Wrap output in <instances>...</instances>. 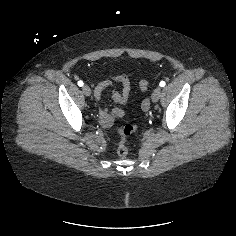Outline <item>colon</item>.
Listing matches in <instances>:
<instances>
[{"label": "colon", "instance_id": "colon-1", "mask_svg": "<svg viewBox=\"0 0 236 236\" xmlns=\"http://www.w3.org/2000/svg\"><path fill=\"white\" fill-rule=\"evenodd\" d=\"M140 89L142 92H145L148 89V81L146 80H142L139 83ZM143 107L147 108L148 107V103L144 102L143 103ZM138 130V126L136 125H132V124H127L124 126H120L118 127V132L123 136V137H128L131 134H133L134 132H136ZM117 153L120 157H125L128 153V148L126 146V144L124 142H121L117 148Z\"/></svg>", "mask_w": 236, "mask_h": 236}]
</instances>
